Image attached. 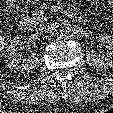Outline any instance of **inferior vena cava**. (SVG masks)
Instances as JSON below:
<instances>
[{
    "label": "inferior vena cava",
    "mask_w": 113,
    "mask_h": 113,
    "mask_svg": "<svg viewBox=\"0 0 113 113\" xmlns=\"http://www.w3.org/2000/svg\"><path fill=\"white\" fill-rule=\"evenodd\" d=\"M54 24L51 22H47V23H41L38 28L37 31L41 34L43 33H48L53 29Z\"/></svg>",
    "instance_id": "obj_1"
}]
</instances>
